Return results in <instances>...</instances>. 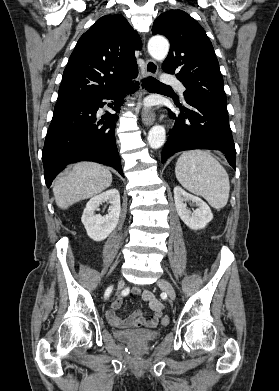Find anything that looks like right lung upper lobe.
<instances>
[{
    "mask_svg": "<svg viewBox=\"0 0 279 391\" xmlns=\"http://www.w3.org/2000/svg\"><path fill=\"white\" fill-rule=\"evenodd\" d=\"M141 41L122 15L98 19L78 40L62 76L55 106L112 93L137 76Z\"/></svg>",
    "mask_w": 279,
    "mask_h": 391,
    "instance_id": "obj_1",
    "label": "right lung upper lobe"
}]
</instances>
